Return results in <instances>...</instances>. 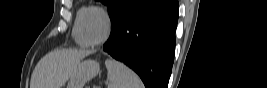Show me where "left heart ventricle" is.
<instances>
[{
  "label": "left heart ventricle",
  "mask_w": 267,
  "mask_h": 88,
  "mask_svg": "<svg viewBox=\"0 0 267 88\" xmlns=\"http://www.w3.org/2000/svg\"><path fill=\"white\" fill-rule=\"evenodd\" d=\"M106 23L104 18L96 13H90L84 23V32L86 38L91 42L99 41L105 34Z\"/></svg>",
  "instance_id": "left-heart-ventricle-1"
}]
</instances>
